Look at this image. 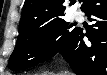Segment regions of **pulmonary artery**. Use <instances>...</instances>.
<instances>
[{
    "label": "pulmonary artery",
    "mask_w": 107,
    "mask_h": 75,
    "mask_svg": "<svg viewBox=\"0 0 107 75\" xmlns=\"http://www.w3.org/2000/svg\"><path fill=\"white\" fill-rule=\"evenodd\" d=\"M73 16H74V18L78 19V18H80L81 14H80V12L76 11V12H74Z\"/></svg>",
    "instance_id": "1"
}]
</instances>
